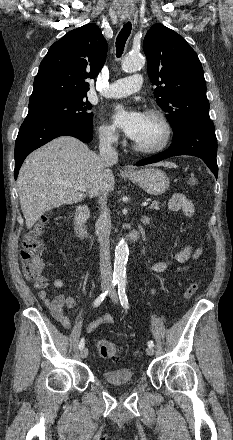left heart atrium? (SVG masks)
Returning <instances> with one entry per match:
<instances>
[{"mask_svg": "<svg viewBox=\"0 0 233 440\" xmlns=\"http://www.w3.org/2000/svg\"><path fill=\"white\" fill-rule=\"evenodd\" d=\"M111 117L115 126L133 140L138 137L145 122V114L122 104L113 108Z\"/></svg>", "mask_w": 233, "mask_h": 440, "instance_id": "left-heart-atrium-1", "label": "left heart atrium"}]
</instances>
